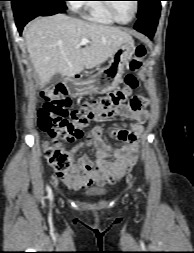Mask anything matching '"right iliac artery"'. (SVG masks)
<instances>
[{
	"label": "right iliac artery",
	"instance_id": "1",
	"mask_svg": "<svg viewBox=\"0 0 194 253\" xmlns=\"http://www.w3.org/2000/svg\"><path fill=\"white\" fill-rule=\"evenodd\" d=\"M46 190H47V193H48L49 200L52 201L53 194H52V190H51L50 186L47 185Z\"/></svg>",
	"mask_w": 194,
	"mask_h": 253
}]
</instances>
